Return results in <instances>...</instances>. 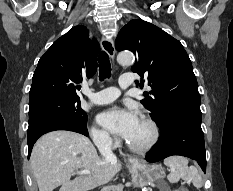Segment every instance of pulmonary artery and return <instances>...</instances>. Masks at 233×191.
<instances>
[{
	"mask_svg": "<svg viewBox=\"0 0 233 191\" xmlns=\"http://www.w3.org/2000/svg\"><path fill=\"white\" fill-rule=\"evenodd\" d=\"M121 89L131 88L134 86V80L130 75H122L119 79ZM90 96L92 103L96 105L108 104L116 100L120 95V89L116 87H107L98 92H86Z\"/></svg>",
	"mask_w": 233,
	"mask_h": 191,
	"instance_id": "e3ab8cb5",
	"label": "pulmonary artery"
}]
</instances>
